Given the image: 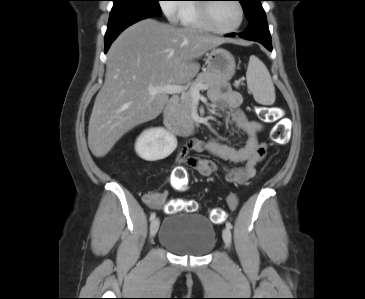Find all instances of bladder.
I'll list each match as a JSON object with an SVG mask.
<instances>
[{"instance_id":"bladder-1","label":"bladder","mask_w":365,"mask_h":299,"mask_svg":"<svg viewBox=\"0 0 365 299\" xmlns=\"http://www.w3.org/2000/svg\"><path fill=\"white\" fill-rule=\"evenodd\" d=\"M157 238L171 252L187 256H204L217 244L215 226L206 216L197 213L170 214Z\"/></svg>"}]
</instances>
